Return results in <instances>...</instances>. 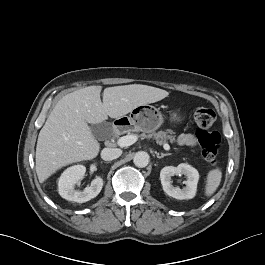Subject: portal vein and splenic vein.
I'll return each mask as SVG.
<instances>
[{
    "label": "portal vein and splenic vein",
    "mask_w": 265,
    "mask_h": 265,
    "mask_svg": "<svg viewBox=\"0 0 265 265\" xmlns=\"http://www.w3.org/2000/svg\"><path fill=\"white\" fill-rule=\"evenodd\" d=\"M137 140H138V137L136 135H126V136L120 137L117 141V144L120 147H128V146L134 144ZM163 148L165 150H169L170 146H169V144L164 143Z\"/></svg>",
    "instance_id": "portal-vein-and-splenic-vein-1"
}]
</instances>
